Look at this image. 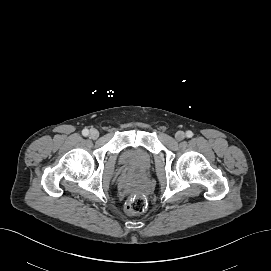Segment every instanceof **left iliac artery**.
Here are the masks:
<instances>
[{
    "label": "left iliac artery",
    "instance_id": "obj_1",
    "mask_svg": "<svg viewBox=\"0 0 271 271\" xmlns=\"http://www.w3.org/2000/svg\"><path fill=\"white\" fill-rule=\"evenodd\" d=\"M186 136L188 137V138H191L192 136H193V132L192 131H187L186 132Z\"/></svg>",
    "mask_w": 271,
    "mask_h": 271
}]
</instances>
